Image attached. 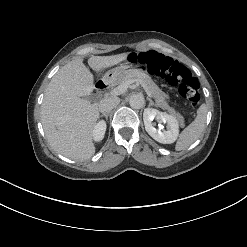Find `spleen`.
I'll return each mask as SVG.
<instances>
[{
	"mask_svg": "<svg viewBox=\"0 0 247 247\" xmlns=\"http://www.w3.org/2000/svg\"><path fill=\"white\" fill-rule=\"evenodd\" d=\"M206 115L207 107L202 104L197 110V116L194 121L181 132L175 145L176 151L188 148L200 137L205 127Z\"/></svg>",
	"mask_w": 247,
	"mask_h": 247,
	"instance_id": "obj_1",
	"label": "spleen"
}]
</instances>
